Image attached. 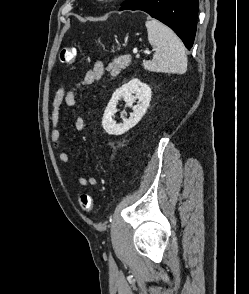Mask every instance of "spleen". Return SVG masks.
<instances>
[{
    "label": "spleen",
    "mask_w": 249,
    "mask_h": 294,
    "mask_svg": "<svg viewBox=\"0 0 249 294\" xmlns=\"http://www.w3.org/2000/svg\"><path fill=\"white\" fill-rule=\"evenodd\" d=\"M148 40L155 49L153 59L143 61L144 69L152 72L184 74L187 70L185 48L177 35L156 19L146 21Z\"/></svg>",
    "instance_id": "obj_1"
}]
</instances>
